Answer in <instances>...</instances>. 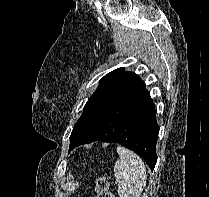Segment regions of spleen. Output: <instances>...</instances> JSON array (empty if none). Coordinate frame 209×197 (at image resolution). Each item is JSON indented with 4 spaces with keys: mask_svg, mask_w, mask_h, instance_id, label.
<instances>
[{
    "mask_svg": "<svg viewBox=\"0 0 209 197\" xmlns=\"http://www.w3.org/2000/svg\"><path fill=\"white\" fill-rule=\"evenodd\" d=\"M119 159L115 162L114 176L119 197H140L146 185V168L142 159L127 148L117 147Z\"/></svg>",
    "mask_w": 209,
    "mask_h": 197,
    "instance_id": "3e777b00",
    "label": "spleen"
}]
</instances>
